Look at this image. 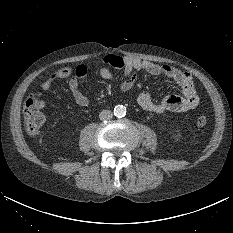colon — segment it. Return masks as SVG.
I'll return each mask as SVG.
<instances>
[{
    "mask_svg": "<svg viewBox=\"0 0 233 233\" xmlns=\"http://www.w3.org/2000/svg\"><path fill=\"white\" fill-rule=\"evenodd\" d=\"M44 104L38 98L30 96L26 99L23 106V115L26 130L31 135L39 133L40 128L45 122L43 113ZM197 126L202 128L207 125L208 119L205 116H198L196 119Z\"/></svg>",
    "mask_w": 233,
    "mask_h": 233,
    "instance_id": "colon-1",
    "label": "colon"
}]
</instances>
